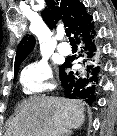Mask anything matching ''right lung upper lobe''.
Listing matches in <instances>:
<instances>
[{"label":"right lung upper lobe","mask_w":117,"mask_h":136,"mask_svg":"<svg viewBox=\"0 0 117 136\" xmlns=\"http://www.w3.org/2000/svg\"><path fill=\"white\" fill-rule=\"evenodd\" d=\"M46 8L42 11V18L49 28H54L59 20L76 35L84 28L91 16L86 13V8L78 0H45ZM35 46L33 35H25L18 45L14 68L28 56Z\"/></svg>","instance_id":"cb5924a9"}]
</instances>
